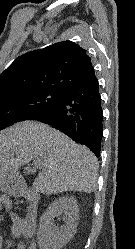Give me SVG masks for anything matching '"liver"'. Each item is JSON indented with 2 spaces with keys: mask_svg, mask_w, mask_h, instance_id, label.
Here are the masks:
<instances>
[{
  "mask_svg": "<svg viewBox=\"0 0 135 249\" xmlns=\"http://www.w3.org/2000/svg\"><path fill=\"white\" fill-rule=\"evenodd\" d=\"M32 159L40 169L33 183L38 192L91 193L96 189L99 164L86 146L35 121L16 123L0 132V167L17 172Z\"/></svg>",
  "mask_w": 135,
  "mask_h": 249,
  "instance_id": "1",
  "label": "liver"
}]
</instances>
